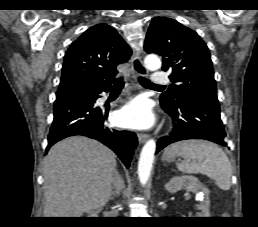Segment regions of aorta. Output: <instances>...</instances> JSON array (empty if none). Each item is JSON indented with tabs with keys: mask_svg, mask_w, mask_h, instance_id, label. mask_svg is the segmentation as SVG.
I'll use <instances>...</instances> for the list:
<instances>
[{
	"mask_svg": "<svg viewBox=\"0 0 258 227\" xmlns=\"http://www.w3.org/2000/svg\"><path fill=\"white\" fill-rule=\"evenodd\" d=\"M144 64L151 71L158 70L161 67L160 59L154 54L147 55L144 60ZM155 150L156 142L153 139H150L143 146L140 153V158L138 161V177L142 185H145L149 179L154 161Z\"/></svg>",
	"mask_w": 258,
	"mask_h": 227,
	"instance_id": "762f6f07",
	"label": "aorta"
}]
</instances>
